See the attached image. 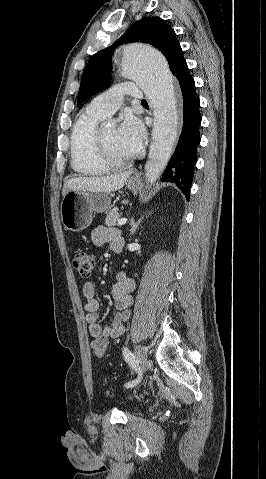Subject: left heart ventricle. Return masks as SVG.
Returning <instances> with one entry per match:
<instances>
[{
	"label": "left heart ventricle",
	"instance_id": "1",
	"mask_svg": "<svg viewBox=\"0 0 266 479\" xmlns=\"http://www.w3.org/2000/svg\"><path fill=\"white\" fill-rule=\"evenodd\" d=\"M110 154L117 160L128 159L129 156L121 147L118 130L115 127H108L102 130Z\"/></svg>",
	"mask_w": 266,
	"mask_h": 479
}]
</instances>
